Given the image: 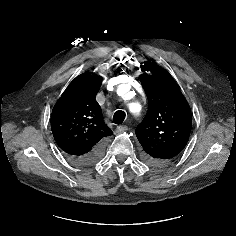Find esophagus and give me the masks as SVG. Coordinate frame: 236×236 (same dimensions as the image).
<instances>
[{
  "mask_svg": "<svg viewBox=\"0 0 236 236\" xmlns=\"http://www.w3.org/2000/svg\"><path fill=\"white\" fill-rule=\"evenodd\" d=\"M126 130H127V127L124 126V125H119V126L116 127V131H117L118 133H122V132H124V131H126Z\"/></svg>",
  "mask_w": 236,
  "mask_h": 236,
  "instance_id": "obj_1",
  "label": "esophagus"
}]
</instances>
